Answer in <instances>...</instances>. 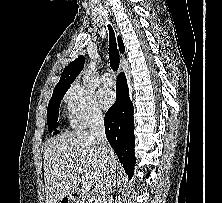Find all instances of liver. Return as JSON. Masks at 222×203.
I'll list each match as a JSON object with an SVG mask.
<instances>
[{
  "instance_id": "obj_1",
  "label": "liver",
  "mask_w": 222,
  "mask_h": 203,
  "mask_svg": "<svg viewBox=\"0 0 222 203\" xmlns=\"http://www.w3.org/2000/svg\"><path fill=\"white\" fill-rule=\"evenodd\" d=\"M43 157L45 203H58L76 191L81 175L82 181L95 188L106 167L97 141L86 131L66 132L51 138L44 145ZM79 168H82L83 174L79 173Z\"/></svg>"
}]
</instances>
